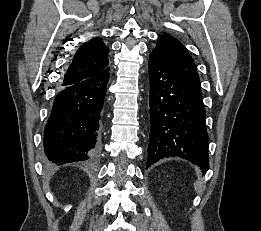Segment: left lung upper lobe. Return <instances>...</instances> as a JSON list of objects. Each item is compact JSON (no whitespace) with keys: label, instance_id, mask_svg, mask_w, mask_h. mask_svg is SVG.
I'll return each mask as SVG.
<instances>
[{"label":"left lung upper lobe","instance_id":"obj_1","mask_svg":"<svg viewBox=\"0 0 261 231\" xmlns=\"http://www.w3.org/2000/svg\"><path fill=\"white\" fill-rule=\"evenodd\" d=\"M167 68L187 83L200 89L199 76L195 64L185 46L169 34L158 38L156 47L150 53Z\"/></svg>","mask_w":261,"mask_h":231}]
</instances>
